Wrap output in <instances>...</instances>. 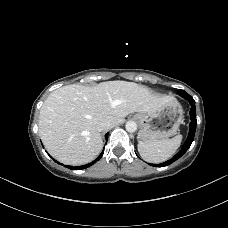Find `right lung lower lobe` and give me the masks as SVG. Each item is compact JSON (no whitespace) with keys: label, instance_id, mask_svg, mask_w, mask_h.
Masks as SVG:
<instances>
[{"label":"right lung lower lobe","instance_id":"right-lung-lower-lobe-1","mask_svg":"<svg viewBox=\"0 0 228 228\" xmlns=\"http://www.w3.org/2000/svg\"><path fill=\"white\" fill-rule=\"evenodd\" d=\"M107 136V134H106ZM103 153L104 151L91 163L89 164H86L84 166H76V167H73V166H67L69 168H71L72 170L76 169V170H81V169H85V168H88L90 165H93L96 161H98L102 156H103ZM57 162V161H56ZM59 164V162H57Z\"/></svg>","mask_w":228,"mask_h":228}]
</instances>
